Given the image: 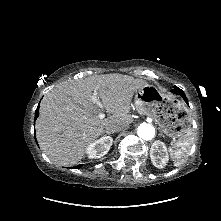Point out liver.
<instances>
[{"label": "liver", "instance_id": "obj_1", "mask_svg": "<svg viewBox=\"0 0 221 221\" xmlns=\"http://www.w3.org/2000/svg\"><path fill=\"white\" fill-rule=\"evenodd\" d=\"M147 85L141 79L118 73L95 75L64 82L49 91L40 103L36 137L43 152L55 164L70 166L85 155L110 124L128 125L135 92ZM111 116L100 119L91 101L92 92Z\"/></svg>", "mask_w": 221, "mask_h": 221}]
</instances>
